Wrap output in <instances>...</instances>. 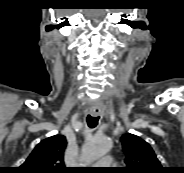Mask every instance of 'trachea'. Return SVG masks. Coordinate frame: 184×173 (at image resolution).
<instances>
[{
	"instance_id": "3493384b",
	"label": "trachea",
	"mask_w": 184,
	"mask_h": 173,
	"mask_svg": "<svg viewBox=\"0 0 184 173\" xmlns=\"http://www.w3.org/2000/svg\"><path fill=\"white\" fill-rule=\"evenodd\" d=\"M98 121H99V116L97 117H94L91 115L87 116V124L90 128H95L98 124Z\"/></svg>"
}]
</instances>
